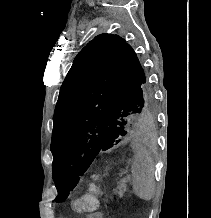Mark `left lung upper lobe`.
I'll list each match as a JSON object with an SVG mask.
<instances>
[{
	"label": "left lung upper lobe",
	"mask_w": 211,
	"mask_h": 218,
	"mask_svg": "<svg viewBox=\"0 0 211 218\" xmlns=\"http://www.w3.org/2000/svg\"><path fill=\"white\" fill-rule=\"evenodd\" d=\"M155 118L153 92L132 47L100 34L76 56L54 113L52 175L61 202L95 157Z\"/></svg>",
	"instance_id": "1"
}]
</instances>
